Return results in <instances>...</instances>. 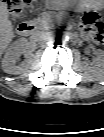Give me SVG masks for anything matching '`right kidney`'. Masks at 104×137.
I'll return each instance as SVG.
<instances>
[{
	"mask_svg": "<svg viewBox=\"0 0 104 137\" xmlns=\"http://www.w3.org/2000/svg\"><path fill=\"white\" fill-rule=\"evenodd\" d=\"M28 42L25 38L15 41L6 51L2 59V69L9 74H20L29 61L23 62L21 65H16V58L22 53L27 52Z\"/></svg>",
	"mask_w": 104,
	"mask_h": 137,
	"instance_id": "ca27d5eb",
	"label": "right kidney"
}]
</instances>
